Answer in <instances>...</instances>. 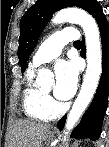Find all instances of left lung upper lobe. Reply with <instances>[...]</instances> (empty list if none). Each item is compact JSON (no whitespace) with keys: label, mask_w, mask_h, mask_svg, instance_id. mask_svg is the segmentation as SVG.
I'll return each instance as SVG.
<instances>
[{"label":"left lung upper lobe","mask_w":109,"mask_h":147,"mask_svg":"<svg viewBox=\"0 0 109 147\" xmlns=\"http://www.w3.org/2000/svg\"><path fill=\"white\" fill-rule=\"evenodd\" d=\"M97 5L99 3L96 0H38L31 6L20 21L18 57L22 72L41 32L54 12L65 7L77 6L91 14Z\"/></svg>","instance_id":"obj_1"}]
</instances>
